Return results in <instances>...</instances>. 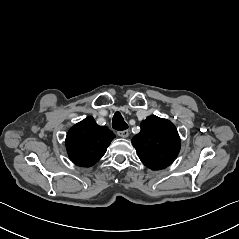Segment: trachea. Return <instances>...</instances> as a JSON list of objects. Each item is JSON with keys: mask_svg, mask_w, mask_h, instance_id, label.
<instances>
[{"mask_svg": "<svg viewBox=\"0 0 239 239\" xmlns=\"http://www.w3.org/2000/svg\"><path fill=\"white\" fill-rule=\"evenodd\" d=\"M112 127L118 131H123L128 128V124L123 120V117L119 112H116L113 116Z\"/></svg>", "mask_w": 239, "mask_h": 239, "instance_id": "1", "label": "trachea"}]
</instances>
